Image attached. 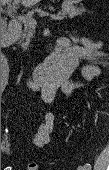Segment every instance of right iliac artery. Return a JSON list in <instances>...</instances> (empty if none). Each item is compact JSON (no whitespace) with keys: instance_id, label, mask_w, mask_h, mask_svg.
<instances>
[{"instance_id":"obj_1","label":"right iliac artery","mask_w":109,"mask_h":170,"mask_svg":"<svg viewBox=\"0 0 109 170\" xmlns=\"http://www.w3.org/2000/svg\"><path fill=\"white\" fill-rule=\"evenodd\" d=\"M12 168L9 166V167H6L5 170H11Z\"/></svg>"}]
</instances>
